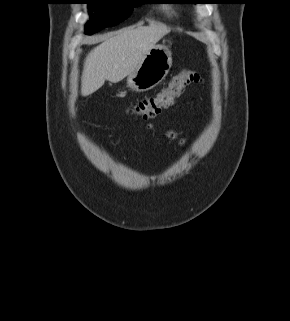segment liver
Masks as SVG:
<instances>
[{
  "label": "liver",
  "instance_id": "obj_1",
  "mask_svg": "<svg viewBox=\"0 0 290 321\" xmlns=\"http://www.w3.org/2000/svg\"><path fill=\"white\" fill-rule=\"evenodd\" d=\"M169 31L164 25L152 24L123 29L104 37L85 60L82 95H91L105 80L117 83L131 74Z\"/></svg>",
  "mask_w": 290,
  "mask_h": 321
}]
</instances>
